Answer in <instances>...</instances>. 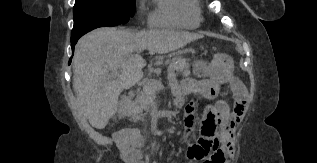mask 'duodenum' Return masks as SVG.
I'll return each mask as SVG.
<instances>
[{"label": "duodenum", "mask_w": 317, "mask_h": 163, "mask_svg": "<svg viewBox=\"0 0 317 163\" xmlns=\"http://www.w3.org/2000/svg\"><path fill=\"white\" fill-rule=\"evenodd\" d=\"M130 104H131V96L128 95H124L121 100H120V105H119V113L118 116L120 118H125L129 108H130Z\"/></svg>", "instance_id": "410a0bca"}]
</instances>
